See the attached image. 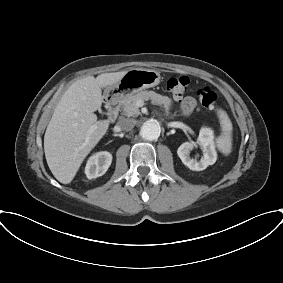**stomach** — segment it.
Segmentation results:
<instances>
[{"mask_svg": "<svg viewBox=\"0 0 283 283\" xmlns=\"http://www.w3.org/2000/svg\"><path fill=\"white\" fill-rule=\"evenodd\" d=\"M160 73L153 69H131L117 83L109 87L108 91L118 97L136 93L157 86L160 83Z\"/></svg>", "mask_w": 283, "mask_h": 283, "instance_id": "stomach-1", "label": "stomach"}]
</instances>
